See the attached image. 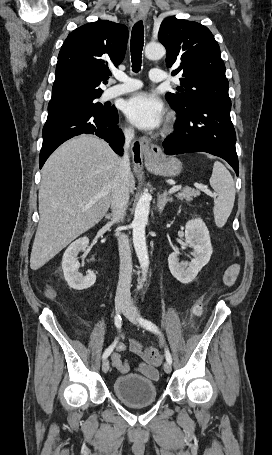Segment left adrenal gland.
Instances as JSON below:
<instances>
[{"label": "left adrenal gland", "instance_id": "a2214340", "mask_svg": "<svg viewBox=\"0 0 272 455\" xmlns=\"http://www.w3.org/2000/svg\"><path fill=\"white\" fill-rule=\"evenodd\" d=\"M168 202H172L171 197H167V192L165 191L161 196L158 197L157 207L160 213L164 210L165 205Z\"/></svg>", "mask_w": 272, "mask_h": 455}]
</instances>
